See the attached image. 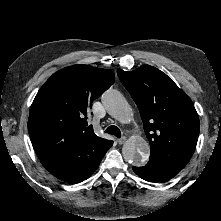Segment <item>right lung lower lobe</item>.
Segmentation results:
<instances>
[{
    "instance_id": "98d812e1",
    "label": "right lung lower lobe",
    "mask_w": 221,
    "mask_h": 221,
    "mask_svg": "<svg viewBox=\"0 0 221 221\" xmlns=\"http://www.w3.org/2000/svg\"><path fill=\"white\" fill-rule=\"evenodd\" d=\"M112 144V141L102 138L88 140L41 159V163L60 180L79 183L89 178L98 168Z\"/></svg>"
}]
</instances>
